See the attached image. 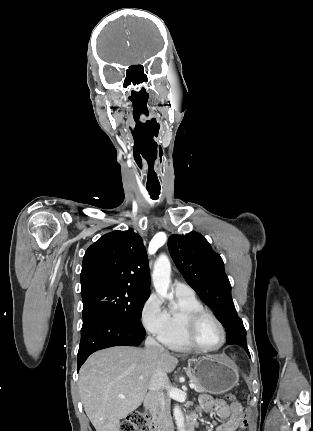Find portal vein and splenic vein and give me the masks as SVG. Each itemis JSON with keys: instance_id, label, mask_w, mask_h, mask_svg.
Here are the masks:
<instances>
[{"instance_id": "1", "label": "portal vein and splenic vein", "mask_w": 313, "mask_h": 431, "mask_svg": "<svg viewBox=\"0 0 313 431\" xmlns=\"http://www.w3.org/2000/svg\"><path fill=\"white\" fill-rule=\"evenodd\" d=\"M189 386H190V388H192V389H193V388H195V384H194V383H192V382L189 384ZM120 398H122V399H123L124 397H123V396H120Z\"/></svg>"}]
</instances>
